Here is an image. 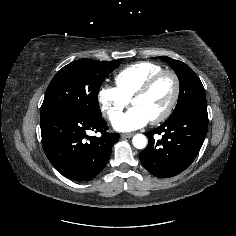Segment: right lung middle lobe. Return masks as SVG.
Masks as SVG:
<instances>
[{"label": "right lung middle lobe", "instance_id": "obj_1", "mask_svg": "<svg viewBox=\"0 0 236 236\" xmlns=\"http://www.w3.org/2000/svg\"><path fill=\"white\" fill-rule=\"evenodd\" d=\"M122 59L95 61L79 59L60 69L50 82L40 110V117L69 109L90 117H102L98 104L101 84Z\"/></svg>", "mask_w": 236, "mask_h": 236}]
</instances>
